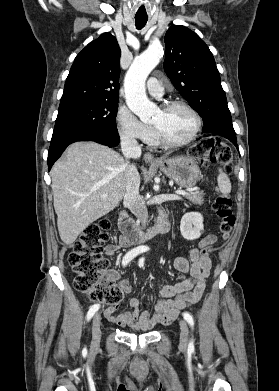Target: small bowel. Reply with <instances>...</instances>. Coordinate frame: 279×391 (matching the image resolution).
<instances>
[{
  "instance_id": "1",
  "label": "small bowel",
  "mask_w": 279,
  "mask_h": 391,
  "mask_svg": "<svg viewBox=\"0 0 279 391\" xmlns=\"http://www.w3.org/2000/svg\"><path fill=\"white\" fill-rule=\"evenodd\" d=\"M215 242L216 236L208 234L200 241L199 249L195 248L190 251V259L184 257L175 258V268L182 273L189 274L191 278L161 288V299L155 303L153 313L149 311L140 312L139 300L131 298L129 300L131 310L115 314L116 306H109L104 312L106 318L119 326H129L140 330H149L156 325L170 324L182 309L196 303L201 298L212 265L210 257L204 255L202 251ZM123 247H127V245L121 238L119 244L107 245L104 252L106 255L111 256ZM110 276L118 277V274L113 271ZM119 287L124 293L131 291V286L127 279L121 278ZM177 296H181V299L175 300Z\"/></svg>"
}]
</instances>
